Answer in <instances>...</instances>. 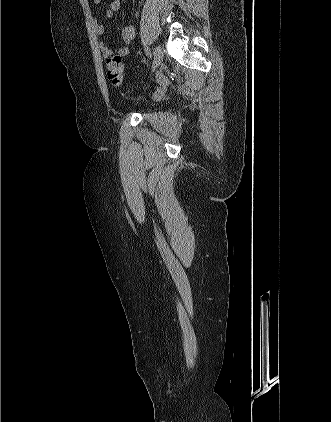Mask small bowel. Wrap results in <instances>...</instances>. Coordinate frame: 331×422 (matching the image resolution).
Listing matches in <instances>:
<instances>
[{"instance_id":"c3829d8e","label":"small bowel","mask_w":331,"mask_h":422,"mask_svg":"<svg viewBox=\"0 0 331 422\" xmlns=\"http://www.w3.org/2000/svg\"><path fill=\"white\" fill-rule=\"evenodd\" d=\"M93 2L98 5L100 4L101 0H93ZM121 7H122L121 0H112L109 5V8L105 11L106 18L111 19L114 16V14H116L117 12L121 10ZM137 15H138V11L135 13V16ZM118 29L121 32V37L124 44L122 47L114 50L111 47H109L104 41H101L99 44L102 55L107 61L116 56L120 57L121 59L127 56L130 52L131 46L135 39L136 29L133 25L125 24V25L119 26ZM94 32L99 38H101L105 32L104 27L100 25L96 19L94 20Z\"/></svg>"}]
</instances>
